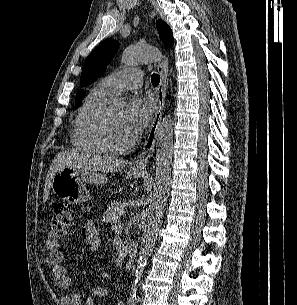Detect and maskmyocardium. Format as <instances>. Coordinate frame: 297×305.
I'll use <instances>...</instances> for the list:
<instances>
[{
	"label": "myocardium",
	"instance_id": "myocardium-1",
	"mask_svg": "<svg viewBox=\"0 0 297 305\" xmlns=\"http://www.w3.org/2000/svg\"><path fill=\"white\" fill-rule=\"evenodd\" d=\"M110 109L105 108L100 115L96 118L93 124V133L102 148L112 154H121L127 152L132 148L135 140L132 139L124 145H115L112 143L109 137L108 121H109Z\"/></svg>",
	"mask_w": 297,
	"mask_h": 305
}]
</instances>
